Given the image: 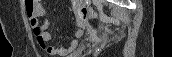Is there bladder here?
Wrapping results in <instances>:
<instances>
[{
    "label": "bladder",
    "mask_w": 172,
    "mask_h": 57,
    "mask_svg": "<svg viewBox=\"0 0 172 57\" xmlns=\"http://www.w3.org/2000/svg\"><path fill=\"white\" fill-rule=\"evenodd\" d=\"M78 57H84L86 54H77Z\"/></svg>",
    "instance_id": "bladder-1"
}]
</instances>
